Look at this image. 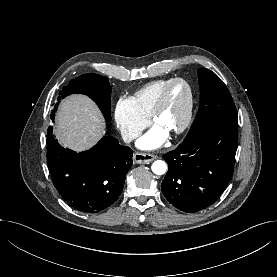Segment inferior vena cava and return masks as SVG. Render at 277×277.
<instances>
[{
  "label": "inferior vena cava",
  "mask_w": 277,
  "mask_h": 277,
  "mask_svg": "<svg viewBox=\"0 0 277 277\" xmlns=\"http://www.w3.org/2000/svg\"><path fill=\"white\" fill-rule=\"evenodd\" d=\"M121 136L124 142H131L137 135L134 132H131L127 129L121 131Z\"/></svg>",
  "instance_id": "obj_1"
}]
</instances>
